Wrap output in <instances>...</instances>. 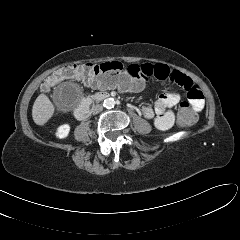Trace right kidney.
<instances>
[{
  "instance_id": "right-kidney-1",
  "label": "right kidney",
  "mask_w": 240,
  "mask_h": 240,
  "mask_svg": "<svg viewBox=\"0 0 240 240\" xmlns=\"http://www.w3.org/2000/svg\"><path fill=\"white\" fill-rule=\"evenodd\" d=\"M70 132V125L63 124L57 128L56 137L59 139L66 138Z\"/></svg>"
}]
</instances>
